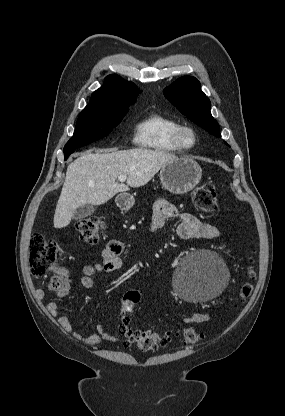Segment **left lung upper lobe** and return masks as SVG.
Masks as SVG:
<instances>
[{"label":"left lung upper lobe","instance_id":"obj_1","mask_svg":"<svg viewBox=\"0 0 285 416\" xmlns=\"http://www.w3.org/2000/svg\"><path fill=\"white\" fill-rule=\"evenodd\" d=\"M165 97L188 119L216 137L219 125L210 113V100L201 91L199 81L190 76L179 78L164 90ZM226 145H228L225 142ZM229 146V145H228Z\"/></svg>","mask_w":285,"mask_h":416}]
</instances>
